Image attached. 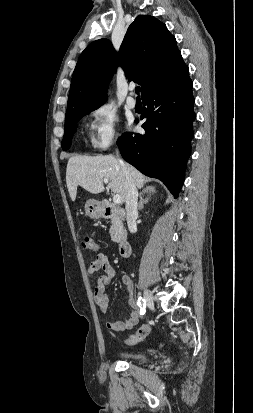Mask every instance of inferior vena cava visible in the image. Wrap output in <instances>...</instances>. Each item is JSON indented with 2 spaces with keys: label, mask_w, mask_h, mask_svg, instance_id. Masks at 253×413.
<instances>
[{
  "label": "inferior vena cava",
  "mask_w": 253,
  "mask_h": 413,
  "mask_svg": "<svg viewBox=\"0 0 253 413\" xmlns=\"http://www.w3.org/2000/svg\"><path fill=\"white\" fill-rule=\"evenodd\" d=\"M119 163L124 171L127 185V196H126V212H127V225L131 233H134L137 229L136 219L138 217V191L130 176V173L126 167V164L119 159Z\"/></svg>",
  "instance_id": "602c4592"
}]
</instances>
